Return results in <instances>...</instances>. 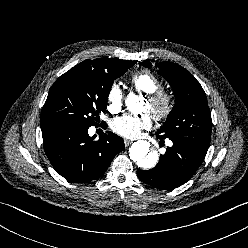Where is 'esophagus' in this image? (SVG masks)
<instances>
[{"instance_id": "esophagus-1", "label": "esophagus", "mask_w": 248, "mask_h": 248, "mask_svg": "<svg viewBox=\"0 0 248 248\" xmlns=\"http://www.w3.org/2000/svg\"><path fill=\"white\" fill-rule=\"evenodd\" d=\"M131 143H132V141H130L128 139H124L125 146H129Z\"/></svg>"}]
</instances>
